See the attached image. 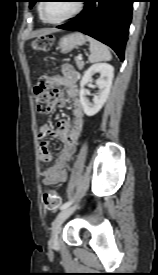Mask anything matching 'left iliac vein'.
Listing matches in <instances>:
<instances>
[{
	"label": "left iliac vein",
	"mask_w": 158,
	"mask_h": 275,
	"mask_svg": "<svg viewBox=\"0 0 158 275\" xmlns=\"http://www.w3.org/2000/svg\"><path fill=\"white\" fill-rule=\"evenodd\" d=\"M77 206H70L63 209L55 218L52 226V233L50 239V247L53 249L58 248V229L60 225L75 211Z\"/></svg>",
	"instance_id": "1"
}]
</instances>
